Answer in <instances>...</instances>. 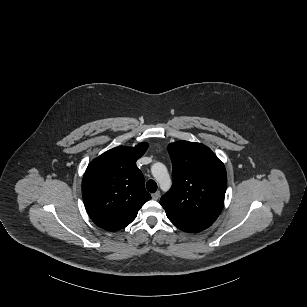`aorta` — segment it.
<instances>
[{
    "label": "aorta",
    "instance_id": "1",
    "mask_svg": "<svg viewBox=\"0 0 307 307\" xmlns=\"http://www.w3.org/2000/svg\"><path fill=\"white\" fill-rule=\"evenodd\" d=\"M150 171L156 183L159 185L160 190L163 193L169 192L172 187V180L167 166L157 161L151 164Z\"/></svg>",
    "mask_w": 307,
    "mask_h": 307
}]
</instances>
